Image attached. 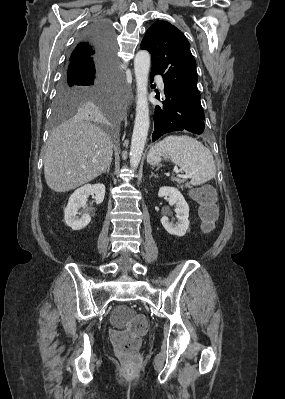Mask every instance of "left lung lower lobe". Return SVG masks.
Wrapping results in <instances>:
<instances>
[{
    "instance_id": "1",
    "label": "left lung lower lobe",
    "mask_w": 285,
    "mask_h": 399,
    "mask_svg": "<svg viewBox=\"0 0 285 399\" xmlns=\"http://www.w3.org/2000/svg\"><path fill=\"white\" fill-rule=\"evenodd\" d=\"M155 74L158 73L152 70L151 81ZM164 84L165 100L162 106H156L155 109L152 140L155 141L162 135L174 131H189L195 134L206 132L205 119L165 81Z\"/></svg>"
}]
</instances>
